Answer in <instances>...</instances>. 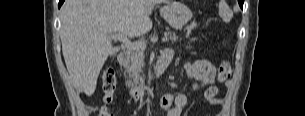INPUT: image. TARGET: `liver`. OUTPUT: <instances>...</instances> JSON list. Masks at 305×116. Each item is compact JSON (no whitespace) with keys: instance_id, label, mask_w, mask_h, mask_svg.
<instances>
[{"instance_id":"1","label":"liver","mask_w":305,"mask_h":116,"mask_svg":"<svg viewBox=\"0 0 305 116\" xmlns=\"http://www.w3.org/2000/svg\"><path fill=\"white\" fill-rule=\"evenodd\" d=\"M169 0H66L61 7L62 52L76 86L91 96L108 56L119 51L107 34L128 38L150 31L155 5Z\"/></svg>"}]
</instances>
